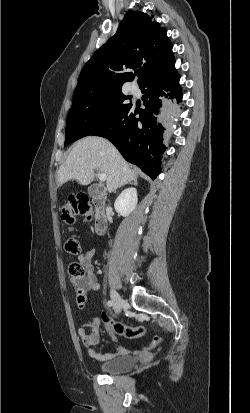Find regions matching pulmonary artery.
Masks as SVG:
<instances>
[{
    "label": "pulmonary artery",
    "mask_w": 250,
    "mask_h": 413,
    "mask_svg": "<svg viewBox=\"0 0 250 413\" xmlns=\"http://www.w3.org/2000/svg\"><path fill=\"white\" fill-rule=\"evenodd\" d=\"M129 89L132 93H137L138 92V87L134 84L131 85Z\"/></svg>",
    "instance_id": "pulmonary-artery-1"
}]
</instances>
